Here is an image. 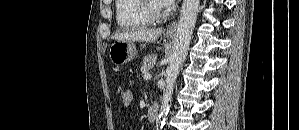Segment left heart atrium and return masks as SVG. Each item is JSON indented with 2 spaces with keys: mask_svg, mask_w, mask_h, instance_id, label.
Instances as JSON below:
<instances>
[{
  "mask_svg": "<svg viewBox=\"0 0 299 130\" xmlns=\"http://www.w3.org/2000/svg\"><path fill=\"white\" fill-rule=\"evenodd\" d=\"M164 3H166L167 5H170L171 3H173V0H164Z\"/></svg>",
  "mask_w": 299,
  "mask_h": 130,
  "instance_id": "obj_1",
  "label": "left heart atrium"
}]
</instances>
